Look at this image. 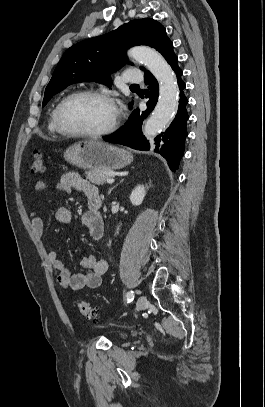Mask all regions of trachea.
I'll return each mask as SVG.
<instances>
[{"label":"trachea","mask_w":265,"mask_h":407,"mask_svg":"<svg viewBox=\"0 0 265 407\" xmlns=\"http://www.w3.org/2000/svg\"><path fill=\"white\" fill-rule=\"evenodd\" d=\"M131 86H138V85H136V84H133V85H131Z\"/></svg>","instance_id":"3493384b"}]
</instances>
